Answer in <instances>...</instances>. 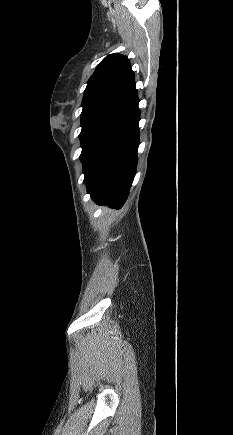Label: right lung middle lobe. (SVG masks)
<instances>
[{"label":"right lung middle lobe","instance_id":"1","mask_svg":"<svg viewBox=\"0 0 233 435\" xmlns=\"http://www.w3.org/2000/svg\"><path fill=\"white\" fill-rule=\"evenodd\" d=\"M124 116L101 113L81 117V140L82 152L80 160L83 162L94 147L118 124Z\"/></svg>","mask_w":233,"mask_h":435}]
</instances>
